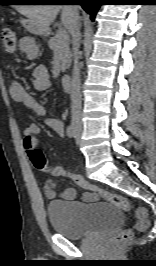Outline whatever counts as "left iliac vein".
Listing matches in <instances>:
<instances>
[{
	"label": "left iliac vein",
	"instance_id": "obj_1",
	"mask_svg": "<svg viewBox=\"0 0 156 266\" xmlns=\"http://www.w3.org/2000/svg\"><path fill=\"white\" fill-rule=\"evenodd\" d=\"M79 138H80V131H77L76 134V143L79 144Z\"/></svg>",
	"mask_w": 156,
	"mask_h": 266
}]
</instances>
